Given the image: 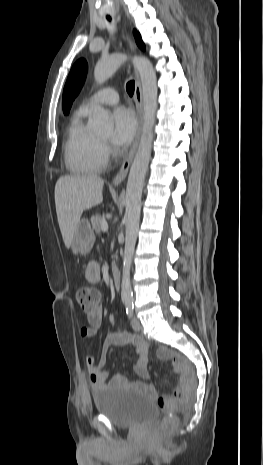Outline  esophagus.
<instances>
[{
  "mask_svg": "<svg viewBox=\"0 0 263 465\" xmlns=\"http://www.w3.org/2000/svg\"><path fill=\"white\" fill-rule=\"evenodd\" d=\"M126 40H127V43H128V45L130 47V50L132 52H134L135 51V44H134V41L132 39V36L129 33L126 34ZM134 73H135L134 100H135V106H136V115H137V119H138V129H137V133H136L133 145H132L129 153L125 157V159H124V161H123V163L121 165V168L119 169L118 173L116 174V176L113 179V184H115V185L120 184L126 178V176L128 174L129 167H130V165L132 163V160L134 158L135 152H136L138 144H139L140 134H141L142 125H143V94H142L141 82H140V77H139V73H138L137 69L134 70Z\"/></svg>",
  "mask_w": 263,
  "mask_h": 465,
  "instance_id": "obj_1",
  "label": "esophagus"
}]
</instances>
